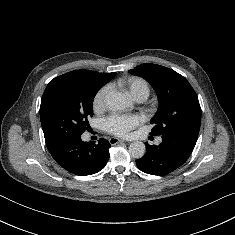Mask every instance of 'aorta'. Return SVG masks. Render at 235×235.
Listing matches in <instances>:
<instances>
[{"mask_svg":"<svg viewBox=\"0 0 235 235\" xmlns=\"http://www.w3.org/2000/svg\"><path fill=\"white\" fill-rule=\"evenodd\" d=\"M106 106L111 111H121L129 106L128 100L121 94H109L105 100ZM146 146L141 141L132 142L129 153L133 158L140 159L145 155Z\"/></svg>","mask_w":235,"mask_h":235,"instance_id":"762f6f07","label":"aorta"}]
</instances>
